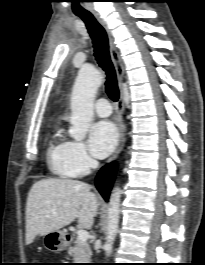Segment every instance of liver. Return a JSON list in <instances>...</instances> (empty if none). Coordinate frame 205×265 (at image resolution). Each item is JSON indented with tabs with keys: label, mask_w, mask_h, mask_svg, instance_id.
<instances>
[{
	"label": "liver",
	"mask_w": 205,
	"mask_h": 265,
	"mask_svg": "<svg viewBox=\"0 0 205 265\" xmlns=\"http://www.w3.org/2000/svg\"><path fill=\"white\" fill-rule=\"evenodd\" d=\"M98 207L97 196L87 183L70 179L35 182L26 203V245L37 235L59 231L76 218L81 227L90 229Z\"/></svg>",
	"instance_id": "obj_1"
}]
</instances>
